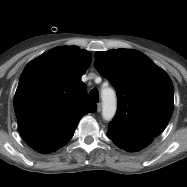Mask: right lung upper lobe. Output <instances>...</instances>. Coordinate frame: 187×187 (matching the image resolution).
Returning a JSON list of instances; mask_svg holds the SVG:
<instances>
[{
	"mask_svg": "<svg viewBox=\"0 0 187 187\" xmlns=\"http://www.w3.org/2000/svg\"><path fill=\"white\" fill-rule=\"evenodd\" d=\"M91 54L76 46L53 48L24 68L14 97L18 129L25 142L41 153L65 145L80 119L96 111L87 102L82 75Z\"/></svg>",
	"mask_w": 187,
	"mask_h": 187,
	"instance_id": "obj_1",
	"label": "right lung upper lobe"
}]
</instances>
